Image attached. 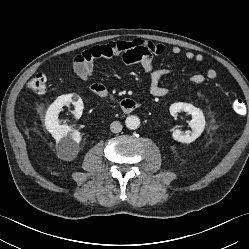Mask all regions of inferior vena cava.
<instances>
[{
  "label": "inferior vena cava",
  "mask_w": 249,
  "mask_h": 249,
  "mask_svg": "<svg viewBox=\"0 0 249 249\" xmlns=\"http://www.w3.org/2000/svg\"><path fill=\"white\" fill-rule=\"evenodd\" d=\"M110 130L113 133H118L122 130V124L119 121H114L110 125Z\"/></svg>",
  "instance_id": "inferior-vena-cava-1"
}]
</instances>
